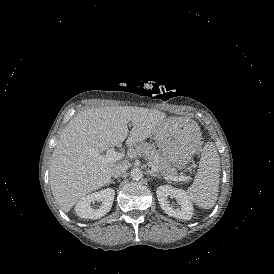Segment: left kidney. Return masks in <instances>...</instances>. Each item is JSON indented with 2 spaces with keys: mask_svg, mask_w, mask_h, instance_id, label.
<instances>
[{
  "mask_svg": "<svg viewBox=\"0 0 274 274\" xmlns=\"http://www.w3.org/2000/svg\"><path fill=\"white\" fill-rule=\"evenodd\" d=\"M157 197L161 208L169 216L183 220L192 218L193 208L183 191L172 186H160L157 188ZM169 198L174 199L176 203H170Z\"/></svg>",
  "mask_w": 274,
  "mask_h": 274,
  "instance_id": "obj_1",
  "label": "left kidney"
}]
</instances>
